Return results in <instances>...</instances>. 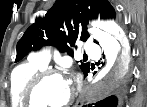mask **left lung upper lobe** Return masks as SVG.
<instances>
[{"instance_id":"left-lung-upper-lobe-1","label":"left lung upper lobe","mask_w":147,"mask_h":107,"mask_svg":"<svg viewBox=\"0 0 147 107\" xmlns=\"http://www.w3.org/2000/svg\"><path fill=\"white\" fill-rule=\"evenodd\" d=\"M98 18L116 19V12L108 0H57L45 17L37 18L18 41L15 62L47 45L73 56L71 47L77 39L86 41L89 38L88 21ZM80 69L86 74L89 63L81 62Z\"/></svg>"}]
</instances>
